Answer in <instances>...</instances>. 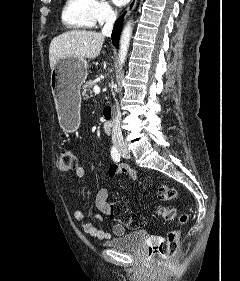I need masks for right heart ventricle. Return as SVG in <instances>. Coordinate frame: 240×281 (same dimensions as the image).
<instances>
[{
	"instance_id": "1",
	"label": "right heart ventricle",
	"mask_w": 240,
	"mask_h": 281,
	"mask_svg": "<svg viewBox=\"0 0 240 281\" xmlns=\"http://www.w3.org/2000/svg\"><path fill=\"white\" fill-rule=\"evenodd\" d=\"M94 0H66L61 19L63 24L71 30L92 28L95 23Z\"/></svg>"
}]
</instances>
